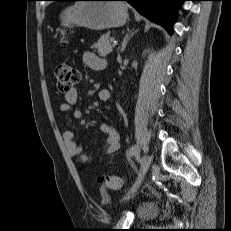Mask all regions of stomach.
Returning <instances> with one entry per match:
<instances>
[{
  "mask_svg": "<svg viewBox=\"0 0 231 231\" xmlns=\"http://www.w3.org/2000/svg\"><path fill=\"white\" fill-rule=\"evenodd\" d=\"M64 27L80 26L104 30L123 26L128 18L127 7L116 0H81L60 15Z\"/></svg>",
  "mask_w": 231,
  "mask_h": 231,
  "instance_id": "obj_1",
  "label": "stomach"
}]
</instances>
